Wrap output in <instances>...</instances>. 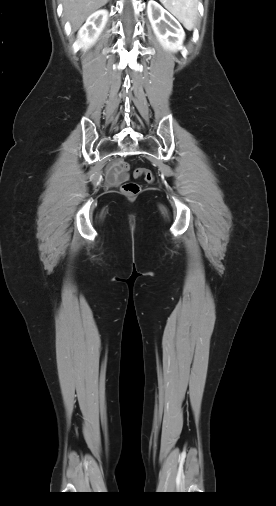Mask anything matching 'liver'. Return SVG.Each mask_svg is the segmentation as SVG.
I'll return each mask as SVG.
<instances>
[{
	"instance_id": "obj_1",
	"label": "liver",
	"mask_w": 276,
	"mask_h": 506,
	"mask_svg": "<svg viewBox=\"0 0 276 506\" xmlns=\"http://www.w3.org/2000/svg\"><path fill=\"white\" fill-rule=\"evenodd\" d=\"M109 0H62L64 16L70 21L73 31H76L82 23L98 10L107 4Z\"/></svg>"
}]
</instances>
